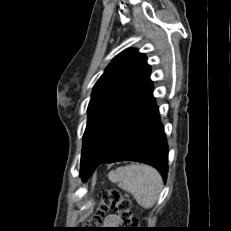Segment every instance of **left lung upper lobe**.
<instances>
[{"label":"left lung upper lobe","mask_w":231,"mask_h":231,"mask_svg":"<svg viewBox=\"0 0 231 231\" xmlns=\"http://www.w3.org/2000/svg\"><path fill=\"white\" fill-rule=\"evenodd\" d=\"M144 54L127 49L106 68L94 86L88 107V124L83 136L81 165L112 119L130 101L150 76Z\"/></svg>","instance_id":"obj_1"}]
</instances>
